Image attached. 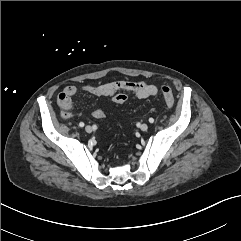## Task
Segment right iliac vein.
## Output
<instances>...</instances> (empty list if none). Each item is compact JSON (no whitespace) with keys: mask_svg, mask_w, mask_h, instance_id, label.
<instances>
[{"mask_svg":"<svg viewBox=\"0 0 241 241\" xmlns=\"http://www.w3.org/2000/svg\"><path fill=\"white\" fill-rule=\"evenodd\" d=\"M85 131H86L87 133H91V132H92V127L89 126V125H87V126L85 127Z\"/></svg>","mask_w":241,"mask_h":241,"instance_id":"1","label":"right iliac vein"}]
</instances>
